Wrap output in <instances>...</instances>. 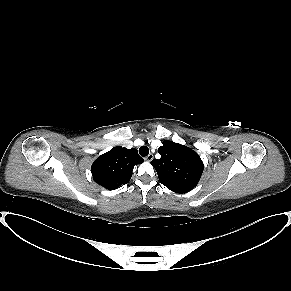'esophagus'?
Returning <instances> with one entry per match:
<instances>
[{"mask_svg":"<svg viewBox=\"0 0 291 291\" xmlns=\"http://www.w3.org/2000/svg\"><path fill=\"white\" fill-rule=\"evenodd\" d=\"M153 158H154V155L153 154H149L148 156L145 157V160L150 162V161L153 160Z\"/></svg>","mask_w":291,"mask_h":291,"instance_id":"obj_1","label":"esophagus"}]
</instances>
